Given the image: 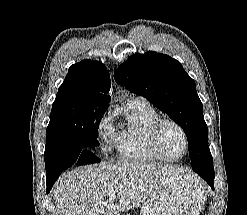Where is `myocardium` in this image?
I'll return each mask as SVG.
<instances>
[{
	"instance_id": "f54148a6",
	"label": "myocardium",
	"mask_w": 247,
	"mask_h": 215,
	"mask_svg": "<svg viewBox=\"0 0 247 215\" xmlns=\"http://www.w3.org/2000/svg\"><path fill=\"white\" fill-rule=\"evenodd\" d=\"M167 125H172L175 128H177L183 137L184 151L180 156H177V157L168 156L167 154H165V152L162 149L161 133H162L163 128ZM148 135H149L150 144H151V147L154 153L162 160L177 161V160L182 159L188 152V149H189L188 134L186 130L184 129V127L179 122L173 119L160 118L149 128Z\"/></svg>"
}]
</instances>
